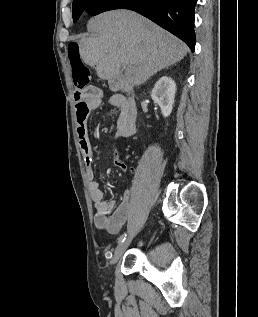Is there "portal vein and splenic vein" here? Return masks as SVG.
Masks as SVG:
<instances>
[{
  "label": "portal vein and splenic vein",
  "mask_w": 258,
  "mask_h": 317,
  "mask_svg": "<svg viewBox=\"0 0 258 317\" xmlns=\"http://www.w3.org/2000/svg\"><path fill=\"white\" fill-rule=\"evenodd\" d=\"M130 72H131V66H127V68H126V74H130Z\"/></svg>",
  "instance_id": "obj_1"
}]
</instances>
